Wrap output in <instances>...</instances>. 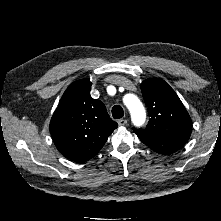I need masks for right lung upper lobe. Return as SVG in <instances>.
Wrapping results in <instances>:
<instances>
[{
    "instance_id": "cb5924a9",
    "label": "right lung upper lobe",
    "mask_w": 221,
    "mask_h": 221,
    "mask_svg": "<svg viewBox=\"0 0 221 221\" xmlns=\"http://www.w3.org/2000/svg\"><path fill=\"white\" fill-rule=\"evenodd\" d=\"M90 89L89 79L69 85L50 122L57 149L76 162L93 158L118 126L109 117L105 105L90 96Z\"/></svg>"
}]
</instances>
